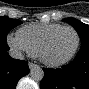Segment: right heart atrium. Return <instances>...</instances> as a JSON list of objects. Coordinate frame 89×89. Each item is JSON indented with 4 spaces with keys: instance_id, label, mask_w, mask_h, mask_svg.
<instances>
[{
    "instance_id": "d8ad5b80",
    "label": "right heart atrium",
    "mask_w": 89,
    "mask_h": 89,
    "mask_svg": "<svg viewBox=\"0 0 89 89\" xmlns=\"http://www.w3.org/2000/svg\"><path fill=\"white\" fill-rule=\"evenodd\" d=\"M7 42H8V45L15 51H18V52L27 51L24 43L18 38L17 35H12V34L9 35L7 37Z\"/></svg>"
}]
</instances>
